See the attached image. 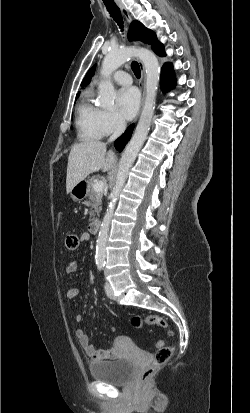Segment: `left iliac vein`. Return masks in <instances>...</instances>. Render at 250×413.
Returning a JSON list of instances; mask_svg holds the SVG:
<instances>
[{
    "label": "left iliac vein",
    "instance_id": "obj_1",
    "mask_svg": "<svg viewBox=\"0 0 250 413\" xmlns=\"http://www.w3.org/2000/svg\"><path fill=\"white\" fill-rule=\"evenodd\" d=\"M105 291H106V294L109 298H111V299L115 298L112 286L108 281H106V283H105Z\"/></svg>",
    "mask_w": 250,
    "mask_h": 413
}]
</instances>
